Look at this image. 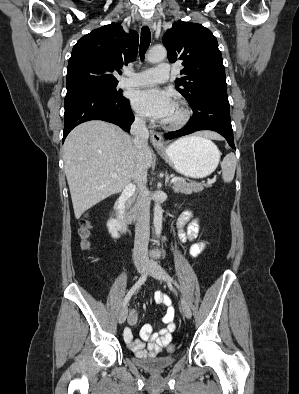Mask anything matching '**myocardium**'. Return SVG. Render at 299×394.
Returning <instances> with one entry per match:
<instances>
[{"label": "myocardium", "mask_w": 299, "mask_h": 394, "mask_svg": "<svg viewBox=\"0 0 299 394\" xmlns=\"http://www.w3.org/2000/svg\"><path fill=\"white\" fill-rule=\"evenodd\" d=\"M175 105L179 109V116L174 120L164 122V126L170 129H177L185 126L191 117V112L184 102L176 101Z\"/></svg>", "instance_id": "myocardium-1"}]
</instances>
